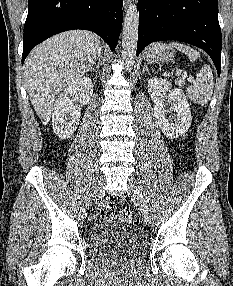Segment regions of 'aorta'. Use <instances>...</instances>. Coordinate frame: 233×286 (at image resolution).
Listing matches in <instances>:
<instances>
[{
	"label": "aorta",
	"mask_w": 233,
	"mask_h": 286,
	"mask_svg": "<svg viewBox=\"0 0 233 286\" xmlns=\"http://www.w3.org/2000/svg\"><path fill=\"white\" fill-rule=\"evenodd\" d=\"M139 11L135 4L129 3L123 22L122 59L131 67L136 58L138 40Z\"/></svg>",
	"instance_id": "762f6f07"
}]
</instances>
